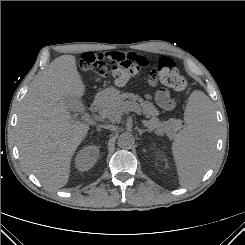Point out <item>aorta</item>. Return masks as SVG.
<instances>
[{
    "label": "aorta",
    "mask_w": 245,
    "mask_h": 245,
    "mask_svg": "<svg viewBox=\"0 0 245 245\" xmlns=\"http://www.w3.org/2000/svg\"><path fill=\"white\" fill-rule=\"evenodd\" d=\"M134 136L130 133H122L118 139L117 144L120 148L129 149L134 145Z\"/></svg>",
    "instance_id": "obj_1"
}]
</instances>
